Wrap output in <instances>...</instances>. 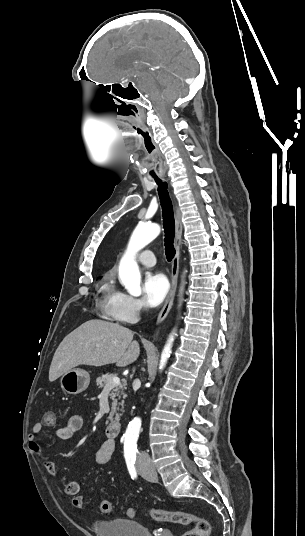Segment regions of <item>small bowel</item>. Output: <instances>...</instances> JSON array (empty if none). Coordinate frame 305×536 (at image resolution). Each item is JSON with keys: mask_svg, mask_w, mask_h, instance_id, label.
<instances>
[{"mask_svg": "<svg viewBox=\"0 0 305 536\" xmlns=\"http://www.w3.org/2000/svg\"><path fill=\"white\" fill-rule=\"evenodd\" d=\"M84 425V420L81 415H72L68 420L65 426L59 427L55 430V436L60 440H68L74 436L75 433L79 432ZM44 427H32V433L29 437V448L36 454L41 453V445L39 443L38 435L41 433ZM115 449V443L113 440H105L101 444L100 448L95 454V462L97 465L107 464ZM43 466L45 471L51 475L55 476L57 473L56 465L51 460H44ZM81 489V484L77 481L70 482L64 486L63 492L68 496H75L79 494Z\"/></svg>", "mask_w": 305, "mask_h": 536, "instance_id": "c3829d8e", "label": "small bowel"}]
</instances>
